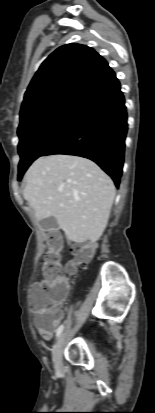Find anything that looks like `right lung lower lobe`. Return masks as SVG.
Listing matches in <instances>:
<instances>
[{"label": "right lung lower lobe", "mask_w": 155, "mask_h": 413, "mask_svg": "<svg viewBox=\"0 0 155 413\" xmlns=\"http://www.w3.org/2000/svg\"><path fill=\"white\" fill-rule=\"evenodd\" d=\"M126 133L125 100L115 77L78 104L64 131L42 156L66 154L91 159L118 187Z\"/></svg>", "instance_id": "98d812e1"}]
</instances>
